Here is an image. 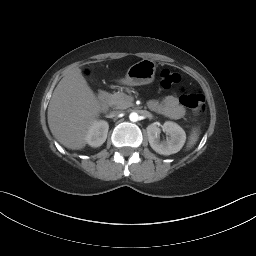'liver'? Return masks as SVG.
Listing matches in <instances>:
<instances>
[{
    "mask_svg": "<svg viewBox=\"0 0 256 256\" xmlns=\"http://www.w3.org/2000/svg\"><path fill=\"white\" fill-rule=\"evenodd\" d=\"M99 114L98 100L81 69H71L58 83L49 102L47 116L52 135L68 149H83L88 130Z\"/></svg>",
    "mask_w": 256,
    "mask_h": 256,
    "instance_id": "obj_1",
    "label": "liver"
}]
</instances>
